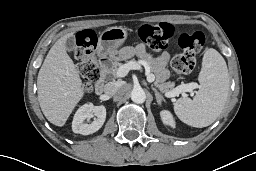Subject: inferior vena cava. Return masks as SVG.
<instances>
[{
	"label": "inferior vena cava",
	"instance_id": "1",
	"mask_svg": "<svg viewBox=\"0 0 256 171\" xmlns=\"http://www.w3.org/2000/svg\"><path fill=\"white\" fill-rule=\"evenodd\" d=\"M118 85L115 82H108L104 86V93L108 96H113L118 92Z\"/></svg>",
	"mask_w": 256,
	"mask_h": 171
}]
</instances>
